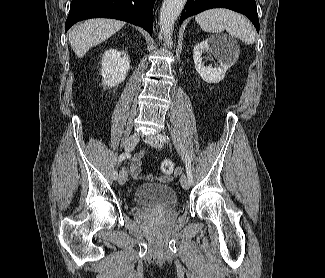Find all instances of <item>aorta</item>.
<instances>
[{"label":"aorta","mask_w":325,"mask_h":278,"mask_svg":"<svg viewBox=\"0 0 325 278\" xmlns=\"http://www.w3.org/2000/svg\"><path fill=\"white\" fill-rule=\"evenodd\" d=\"M186 0H164L160 9V31L169 45L175 21L180 15Z\"/></svg>","instance_id":"obj_1"}]
</instances>
